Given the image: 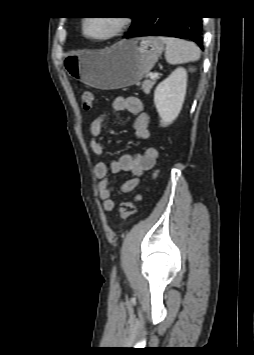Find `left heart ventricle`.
Here are the masks:
<instances>
[{
	"instance_id": "1",
	"label": "left heart ventricle",
	"mask_w": 254,
	"mask_h": 355,
	"mask_svg": "<svg viewBox=\"0 0 254 355\" xmlns=\"http://www.w3.org/2000/svg\"><path fill=\"white\" fill-rule=\"evenodd\" d=\"M116 27L112 17H93L88 20L86 32L92 37H102L111 33Z\"/></svg>"
}]
</instances>
